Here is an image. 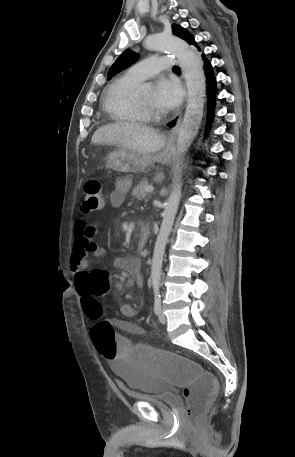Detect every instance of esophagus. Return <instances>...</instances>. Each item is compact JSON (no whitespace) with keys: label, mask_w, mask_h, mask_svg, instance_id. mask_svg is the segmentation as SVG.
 Listing matches in <instances>:
<instances>
[{"label":"esophagus","mask_w":295,"mask_h":457,"mask_svg":"<svg viewBox=\"0 0 295 457\" xmlns=\"http://www.w3.org/2000/svg\"><path fill=\"white\" fill-rule=\"evenodd\" d=\"M179 124H180V120H178L177 124L175 125L174 128H172V130L170 131V133L168 135V142H167V145H166V152H169L172 149V142H173V139H174V137H175V135L177 133Z\"/></svg>","instance_id":"34e87169"}]
</instances>
